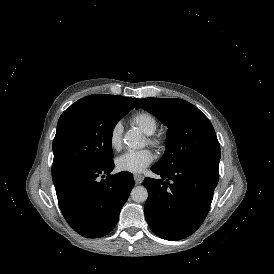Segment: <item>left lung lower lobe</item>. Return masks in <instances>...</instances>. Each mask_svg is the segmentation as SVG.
<instances>
[{"label": "left lung lower lobe", "mask_w": 274, "mask_h": 274, "mask_svg": "<svg viewBox=\"0 0 274 274\" xmlns=\"http://www.w3.org/2000/svg\"><path fill=\"white\" fill-rule=\"evenodd\" d=\"M151 170L161 179L143 181L148 190L144 213L150 229L170 241L188 237L209 211L219 167L199 163L166 168L155 164Z\"/></svg>", "instance_id": "1"}]
</instances>
